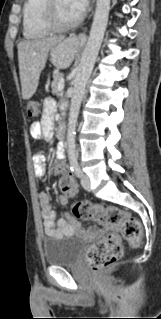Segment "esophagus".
<instances>
[{
  "mask_svg": "<svg viewBox=\"0 0 161 319\" xmlns=\"http://www.w3.org/2000/svg\"><path fill=\"white\" fill-rule=\"evenodd\" d=\"M78 39H79L80 41L84 42V41L86 40V35H85L84 33H80V34L78 35Z\"/></svg>",
  "mask_w": 161,
  "mask_h": 319,
  "instance_id": "obj_1",
  "label": "esophagus"
}]
</instances>
